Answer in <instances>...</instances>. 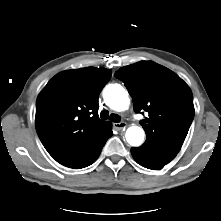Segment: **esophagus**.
Listing matches in <instances>:
<instances>
[{"instance_id": "1", "label": "esophagus", "mask_w": 221, "mask_h": 221, "mask_svg": "<svg viewBox=\"0 0 221 221\" xmlns=\"http://www.w3.org/2000/svg\"><path fill=\"white\" fill-rule=\"evenodd\" d=\"M113 126L116 130H122L127 127V124L125 122H120V123H114Z\"/></svg>"}]
</instances>
